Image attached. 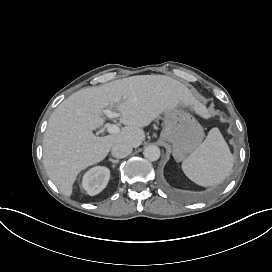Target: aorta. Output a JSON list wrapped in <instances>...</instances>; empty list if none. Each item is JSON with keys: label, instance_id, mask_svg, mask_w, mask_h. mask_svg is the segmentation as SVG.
I'll list each match as a JSON object with an SVG mask.
<instances>
[{"label": "aorta", "instance_id": "762f6f07", "mask_svg": "<svg viewBox=\"0 0 272 272\" xmlns=\"http://www.w3.org/2000/svg\"><path fill=\"white\" fill-rule=\"evenodd\" d=\"M143 155L150 161H156L160 157V149L157 146L150 145L144 149Z\"/></svg>", "mask_w": 272, "mask_h": 272}]
</instances>
